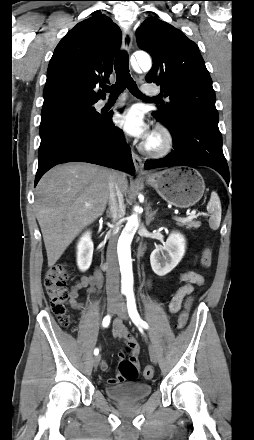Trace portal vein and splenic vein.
Returning <instances> with one entry per match:
<instances>
[{
	"instance_id": "18ae733b",
	"label": "portal vein and splenic vein",
	"mask_w": 254,
	"mask_h": 440,
	"mask_svg": "<svg viewBox=\"0 0 254 440\" xmlns=\"http://www.w3.org/2000/svg\"><path fill=\"white\" fill-rule=\"evenodd\" d=\"M86 206H90L89 204H86ZM196 210H193L190 215L186 218H182V217H174V219L178 222H187V221H191L194 218H196Z\"/></svg>"
}]
</instances>
